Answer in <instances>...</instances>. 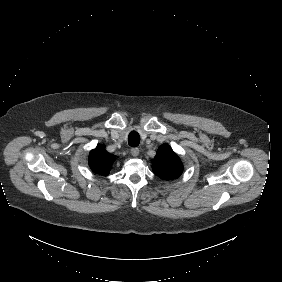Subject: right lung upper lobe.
<instances>
[{
	"mask_svg": "<svg viewBox=\"0 0 282 282\" xmlns=\"http://www.w3.org/2000/svg\"><path fill=\"white\" fill-rule=\"evenodd\" d=\"M114 159L115 157L105 150L104 145H98L89 154V166L94 173L107 176Z\"/></svg>",
	"mask_w": 282,
	"mask_h": 282,
	"instance_id": "cb5924a9",
	"label": "right lung upper lobe"
}]
</instances>
